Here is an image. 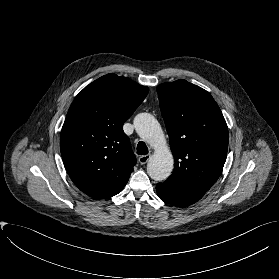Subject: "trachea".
Listing matches in <instances>:
<instances>
[{
    "label": "trachea",
    "instance_id": "3493384b",
    "mask_svg": "<svg viewBox=\"0 0 279 279\" xmlns=\"http://www.w3.org/2000/svg\"><path fill=\"white\" fill-rule=\"evenodd\" d=\"M137 154L138 155H146V154H148L147 145L143 141H140L138 143V145H137Z\"/></svg>",
    "mask_w": 279,
    "mask_h": 279
}]
</instances>
